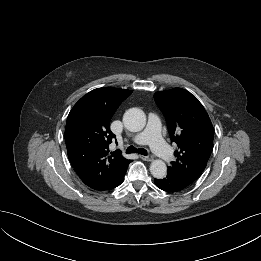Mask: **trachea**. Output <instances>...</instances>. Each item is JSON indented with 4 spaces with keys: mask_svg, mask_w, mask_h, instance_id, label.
I'll return each mask as SVG.
<instances>
[{
    "mask_svg": "<svg viewBox=\"0 0 261 261\" xmlns=\"http://www.w3.org/2000/svg\"><path fill=\"white\" fill-rule=\"evenodd\" d=\"M126 153L127 154H131V153H139L141 155H147V150H145L144 148H139V149H136L134 146H129L127 149H126Z\"/></svg>",
    "mask_w": 261,
    "mask_h": 261,
    "instance_id": "obj_1",
    "label": "trachea"
}]
</instances>
